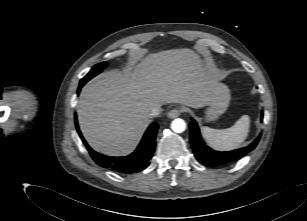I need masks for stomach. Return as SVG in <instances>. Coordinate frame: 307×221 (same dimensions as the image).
Wrapping results in <instances>:
<instances>
[{
    "label": "stomach",
    "mask_w": 307,
    "mask_h": 221,
    "mask_svg": "<svg viewBox=\"0 0 307 221\" xmlns=\"http://www.w3.org/2000/svg\"><path fill=\"white\" fill-rule=\"evenodd\" d=\"M230 102V90L224 84H219L214 99L206 106V121L217 120L226 110Z\"/></svg>",
    "instance_id": "stomach-1"
}]
</instances>
